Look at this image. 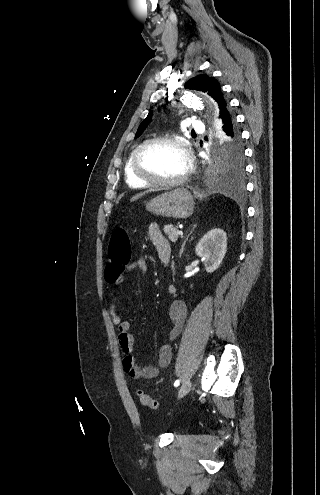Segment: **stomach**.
<instances>
[{"label":"stomach","mask_w":320,"mask_h":495,"mask_svg":"<svg viewBox=\"0 0 320 495\" xmlns=\"http://www.w3.org/2000/svg\"><path fill=\"white\" fill-rule=\"evenodd\" d=\"M194 200L185 188H177L153 198L146 204V210L162 217L188 218L192 215Z\"/></svg>","instance_id":"0dacf381"}]
</instances>
